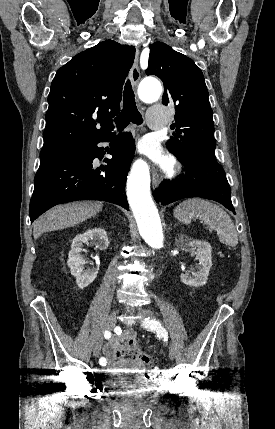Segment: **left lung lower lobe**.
I'll list each match as a JSON object with an SVG mask.
<instances>
[{"label":"left lung lower lobe","mask_w":275,"mask_h":429,"mask_svg":"<svg viewBox=\"0 0 275 429\" xmlns=\"http://www.w3.org/2000/svg\"><path fill=\"white\" fill-rule=\"evenodd\" d=\"M180 161L186 169L185 175L178 180H164L159 185L153 193L158 204L167 205L183 198L202 197L221 203L235 214L225 171L216 160L201 156Z\"/></svg>","instance_id":"0a47b994"}]
</instances>
